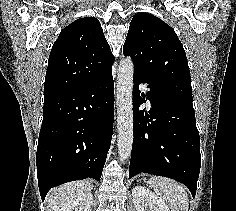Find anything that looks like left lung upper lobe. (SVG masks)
<instances>
[{
	"label": "left lung upper lobe",
	"instance_id": "obj_1",
	"mask_svg": "<svg viewBox=\"0 0 236 211\" xmlns=\"http://www.w3.org/2000/svg\"><path fill=\"white\" fill-rule=\"evenodd\" d=\"M123 53L132 58L134 73L192 102L191 77L184 48L165 22L149 13L136 14L130 23Z\"/></svg>",
	"mask_w": 236,
	"mask_h": 211
}]
</instances>
